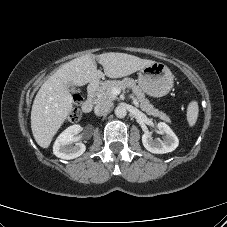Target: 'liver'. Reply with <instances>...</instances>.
Returning <instances> with one entry per match:
<instances>
[{
  "label": "liver",
  "instance_id": "1",
  "mask_svg": "<svg viewBox=\"0 0 227 227\" xmlns=\"http://www.w3.org/2000/svg\"><path fill=\"white\" fill-rule=\"evenodd\" d=\"M96 60L104 73L97 69ZM126 53L86 54L65 63L39 89L31 110V129L35 141L48 148L54 135L73 108L68 84L83 86L104 76L121 78L153 64Z\"/></svg>",
  "mask_w": 227,
  "mask_h": 227
}]
</instances>
